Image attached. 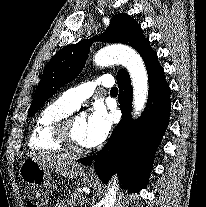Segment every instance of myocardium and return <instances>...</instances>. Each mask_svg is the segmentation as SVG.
<instances>
[{"label":"myocardium","instance_id":"1","mask_svg":"<svg viewBox=\"0 0 206 207\" xmlns=\"http://www.w3.org/2000/svg\"><path fill=\"white\" fill-rule=\"evenodd\" d=\"M78 116L70 114L59 121L54 128L55 140L65 152L74 155H82L89 152V147H80L76 145L72 138V126Z\"/></svg>","mask_w":206,"mask_h":207}]
</instances>
